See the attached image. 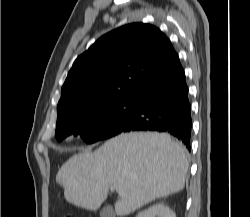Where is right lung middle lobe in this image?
Returning a JSON list of instances; mask_svg holds the SVG:
<instances>
[{
  "instance_id": "1",
  "label": "right lung middle lobe",
  "mask_w": 250,
  "mask_h": 217,
  "mask_svg": "<svg viewBox=\"0 0 250 217\" xmlns=\"http://www.w3.org/2000/svg\"><path fill=\"white\" fill-rule=\"evenodd\" d=\"M134 100L124 99L102 103L79 111L56 125V138L80 136L91 144L119 134L132 120Z\"/></svg>"
}]
</instances>
